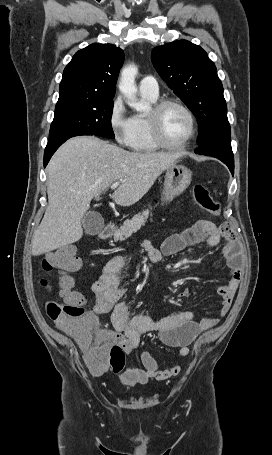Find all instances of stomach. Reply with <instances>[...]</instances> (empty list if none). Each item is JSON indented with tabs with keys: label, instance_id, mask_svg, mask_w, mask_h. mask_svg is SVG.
<instances>
[{
	"label": "stomach",
	"instance_id": "obj_1",
	"mask_svg": "<svg viewBox=\"0 0 272 455\" xmlns=\"http://www.w3.org/2000/svg\"><path fill=\"white\" fill-rule=\"evenodd\" d=\"M192 172L183 165L174 164L166 169L162 200L171 201L191 183Z\"/></svg>",
	"mask_w": 272,
	"mask_h": 455
}]
</instances>
